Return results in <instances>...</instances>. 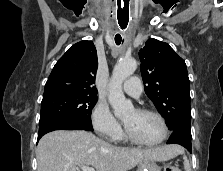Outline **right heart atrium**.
<instances>
[{
  "instance_id": "obj_1",
  "label": "right heart atrium",
  "mask_w": 223,
  "mask_h": 171,
  "mask_svg": "<svg viewBox=\"0 0 223 171\" xmlns=\"http://www.w3.org/2000/svg\"><path fill=\"white\" fill-rule=\"evenodd\" d=\"M91 121L95 132L105 139L116 140L121 134V126L118 120L103 102H98L95 105Z\"/></svg>"
}]
</instances>
